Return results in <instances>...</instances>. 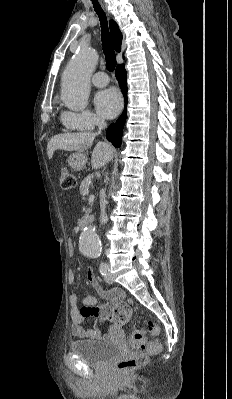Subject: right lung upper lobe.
<instances>
[{
  "mask_svg": "<svg viewBox=\"0 0 232 399\" xmlns=\"http://www.w3.org/2000/svg\"><path fill=\"white\" fill-rule=\"evenodd\" d=\"M110 31L113 45L116 51L120 52L122 43V33L115 21L110 20Z\"/></svg>",
  "mask_w": 232,
  "mask_h": 399,
  "instance_id": "obj_1",
  "label": "right lung upper lobe"
}]
</instances>
